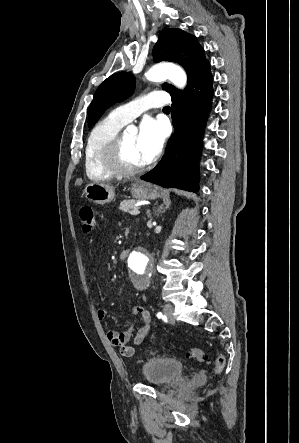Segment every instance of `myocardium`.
Here are the masks:
<instances>
[{
  "mask_svg": "<svg viewBox=\"0 0 299 443\" xmlns=\"http://www.w3.org/2000/svg\"><path fill=\"white\" fill-rule=\"evenodd\" d=\"M103 159L106 168L118 176H132L140 173L147 167V164H142L137 167H131L125 164L123 160V134H117L106 146Z\"/></svg>",
  "mask_w": 299,
  "mask_h": 443,
  "instance_id": "obj_1",
  "label": "myocardium"
}]
</instances>
